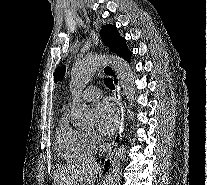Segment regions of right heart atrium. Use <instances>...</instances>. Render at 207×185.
<instances>
[{
  "label": "right heart atrium",
  "mask_w": 207,
  "mask_h": 185,
  "mask_svg": "<svg viewBox=\"0 0 207 185\" xmlns=\"http://www.w3.org/2000/svg\"><path fill=\"white\" fill-rule=\"evenodd\" d=\"M89 136L96 143H98L100 141L98 135H96L95 133H90Z\"/></svg>",
  "instance_id": "obj_1"
}]
</instances>
